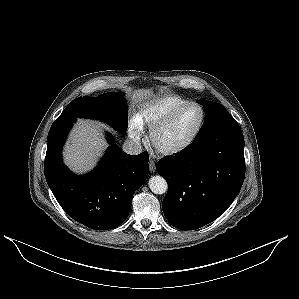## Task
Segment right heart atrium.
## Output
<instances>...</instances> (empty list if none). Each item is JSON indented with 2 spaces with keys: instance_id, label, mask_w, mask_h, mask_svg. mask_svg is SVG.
<instances>
[{
  "instance_id": "right-heart-atrium-1",
  "label": "right heart atrium",
  "mask_w": 299,
  "mask_h": 299,
  "mask_svg": "<svg viewBox=\"0 0 299 299\" xmlns=\"http://www.w3.org/2000/svg\"><path fill=\"white\" fill-rule=\"evenodd\" d=\"M128 133L134 142H139L143 133L142 126L136 120H133L129 125Z\"/></svg>"
}]
</instances>
